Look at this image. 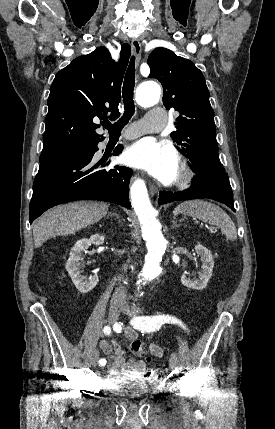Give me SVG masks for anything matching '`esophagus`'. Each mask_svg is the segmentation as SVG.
Returning a JSON list of instances; mask_svg holds the SVG:
<instances>
[{"label":"esophagus","mask_w":275,"mask_h":429,"mask_svg":"<svg viewBox=\"0 0 275 429\" xmlns=\"http://www.w3.org/2000/svg\"><path fill=\"white\" fill-rule=\"evenodd\" d=\"M132 50L135 55V63L138 65L141 58V43L139 39L135 38L132 40ZM157 191L158 188L154 184L149 185V192L151 195H154Z\"/></svg>","instance_id":"esophagus-1"}]
</instances>
